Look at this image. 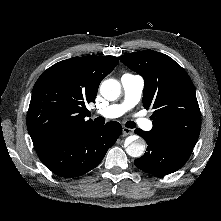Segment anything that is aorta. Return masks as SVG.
I'll return each mask as SVG.
<instances>
[{"instance_id": "obj_1", "label": "aorta", "mask_w": 221, "mask_h": 221, "mask_svg": "<svg viewBox=\"0 0 221 221\" xmlns=\"http://www.w3.org/2000/svg\"><path fill=\"white\" fill-rule=\"evenodd\" d=\"M101 95L107 100H116L121 94L120 83L115 79H107L100 86ZM126 152L131 157H141L145 152V143L142 139H134L126 147Z\"/></svg>"}]
</instances>
